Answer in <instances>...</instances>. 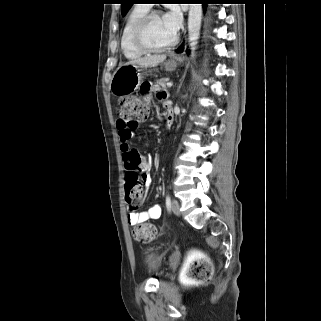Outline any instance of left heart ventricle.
<instances>
[{
    "label": "left heart ventricle",
    "instance_id": "b2bd125f",
    "mask_svg": "<svg viewBox=\"0 0 321 321\" xmlns=\"http://www.w3.org/2000/svg\"><path fill=\"white\" fill-rule=\"evenodd\" d=\"M175 33L166 25L162 16L150 19L145 30V39L151 46L160 47L168 44Z\"/></svg>",
    "mask_w": 321,
    "mask_h": 321
}]
</instances>
